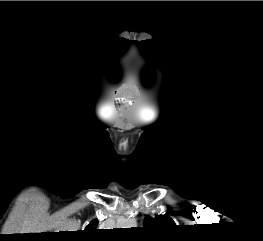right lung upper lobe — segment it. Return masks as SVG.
<instances>
[{
    "mask_svg": "<svg viewBox=\"0 0 263 241\" xmlns=\"http://www.w3.org/2000/svg\"><path fill=\"white\" fill-rule=\"evenodd\" d=\"M97 224H98L97 219L92 220L85 228L86 233L94 231V229L97 227Z\"/></svg>",
    "mask_w": 263,
    "mask_h": 241,
    "instance_id": "obj_1",
    "label": "right lung upper lobe"
}]
</instances>
